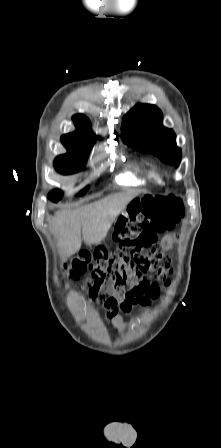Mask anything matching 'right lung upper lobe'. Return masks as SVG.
Masks as SVG:
<instances>
[{"label":"right lung upper lobe","instance_id":"obj_1","mask_svg":"<svg viewBox=\"0 0 221 448\" xmlns=\"http://www.w3.org/2000/svg\"><path fill=\"white\" fill-rule=\"evenodd\" d=\"M73 119L77 131L62 136L61 142L68 150L66 155L87 159L95 142V136L90 129V121L86 116L81 114L75 115Z\"/></svg>","mask_w":221,"mask_h":448}]
</instances>
